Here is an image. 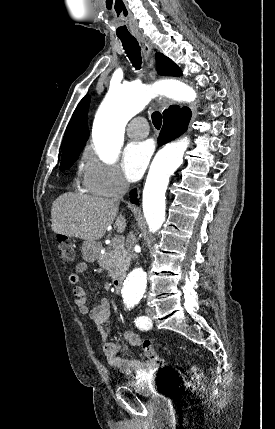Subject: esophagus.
<instances>
[{
  "label": "esophagus",
  "instance_id": "34e87169",
  "mask_svg": "<svg viewBox=\"0 0 275 429\" xmlns=\"http://www.w3.org/2000/svg\"><path fill=\"white\" fill-rule=\"evenodd\" d=\"M139 40L142 42L143 44V50H144V56H145V60L148 62L151 54H152V46L145 40L144 37L142 36H138ZM149 75L151 77L152 80H154L156 78V72L155 70H150ZM157 103L158 106L160 108V110H164L165 108H167L168 106V101L167 99H165L164 97H158L157 98Z\"/></svg>",
  "mask_w": 275,
  "mask_h": 429
}]
</instances>
